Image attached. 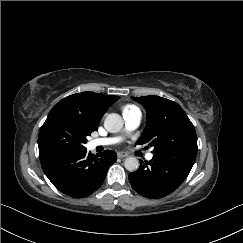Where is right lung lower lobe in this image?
Instances as JSON below:
<instances>
[{
  "label": "right lung lower lobe",
  "mask_w": 243,
  "mask_h": 243,
  "mask_svg": "<svg viewBox=\"0 0 243 243\" xmlns=\"http://www.w3.org/2000/svg\"><path fill=\"white\" fill-rule=\"evenodd\" d=\"M117 159L114 151L93 155L86 149L40 158L51 183L62 193L82 198L95 192L103 183L108 168Z\"/></svg>",
  "instance_id": "98d812e1"
}]
</instances>
